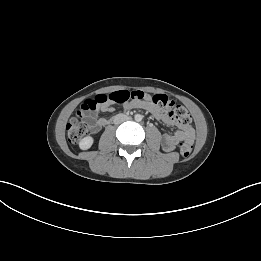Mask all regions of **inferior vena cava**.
Returning <instances> with one entry per match:
<instances>
[{"instance_id":"602c4592","label":"inferior vena cava","mask_w":261,"mask_h":261,"mask_svg":"<svg viewBox=\"0 0 261 261\" xmlns=\"http://www.w3.org/2000/svg\"><path fill=\"white\" fill-rule=\"evenodd\" d=\"M127 119H128V116H126L124 114H119V115L115 116L114 123L118 124V123L126 121Z\"/></svg>"}]
</instances>
